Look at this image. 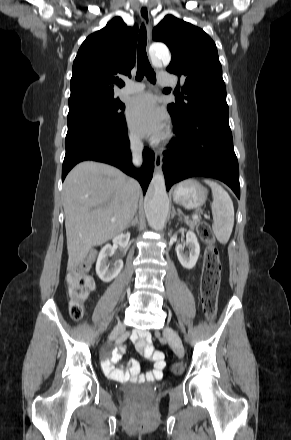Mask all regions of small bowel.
<instances>
[{"label":"small bowel","instance_id":"obj_1","mask_svg":"<svg viewBox=\"0 0 291 440\" xmlns=\"http://www.w3.org/2000/svg\"><path fill=\"white\" fill-rule=\"evenodd\" d=\"M132 338L137 341V350L142 352L148 360L153 362L154 369L146 373H141L140 365L135 360L129 363V369L116 368L115 365L119 361L120 352L125 351V347H120L118 351H114L110 357L104 360L103 369L105 373L109 377L118 379L130 378L132 381L139 383L150 382L160 378L166 365L162 354L159 357L154 356L147 332L136 331L133 333ZM178 369H181V367L179 366Z\"/></svg>","mask_w":291,"mask_h":440}]
</instances>
